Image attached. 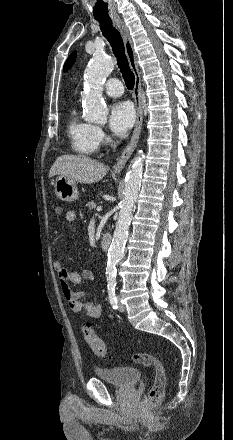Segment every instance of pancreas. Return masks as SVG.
I'll list each match as a JSON object with an SVG mask.
<instances>
[{
	"label": "pancreas",
	"instance_id": "1",
	"mask_svg": "<svg viewBox=\"0 0 233 440\" xmlns=\"http://www.w3.org/2000/svg\"><path fill=\"white\" fill-rule=\"evenodd\" d=\"M86 207H87L89 210H93V209L96 207V203H95L94 201H90V202H88V203L86 204Z\"/></svg>",
	"mask_w": 233,
	"mask_h": 440
}]
</instances>
